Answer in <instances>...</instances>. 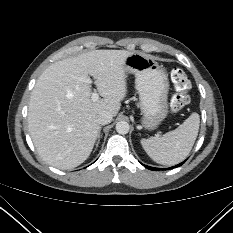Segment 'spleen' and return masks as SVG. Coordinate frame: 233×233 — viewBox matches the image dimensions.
<instances>
[{
    "label": "spleen",
    "instance_id": "1",
    "mask_svg": "<svg viewBox=\"0 0 233 233\" xmlns=\"http://www.w3.org/2000/svg\"><path fill=\"white\" fill-rule=\"evenodd\" d=\"M200 118L192 113L178 128L161 137L142 139L141 145L149 157L162 165L182 162L190 153L198 135Z\"/></svg>",
    "mask_w": 233,
    "mask_h": 233
}]
</instances>
